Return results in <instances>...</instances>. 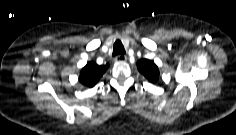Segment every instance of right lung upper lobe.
<instances>
[{
    "label": "right lung upper lobe",
    "instance_id": "obj_1",
    "mask_svg": "<svg viewBox=\"0 0 236 135\" xmlns=\"http://www.w3.org/2000/svg\"><path fill=\"white\" fill-rule=\"evenodd\" d=\"M109 64L97 65L95 62L91 61L86 64L81 69L79 81L86 87H93L105 73Z\"/></svg>",
    "mask_w": 236,
    "mask_h": 135
}]
</instances>
